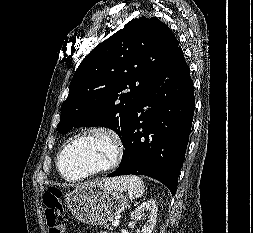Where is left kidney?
Instances as JSON below:
<instances>
[{
    "label": "left kidney",
    "mask_w": 253,
    "mask_h": 233,
    "mask_svg": "<svg viewBox=\"0 0 253 233\" xmlns=\"http://www.w3.org/2000/svg\"><path fill=\"white\" fill-rule=\"evenodd\" d=\"M157 206L154 200H148L139 205L132 213L131 220L140 219L145 212L149 213L148 219L145 225L141 228L139 233H152V230L156 224L157 218Z\"/></svg>",
    "instance_id": "1"
}]
</instances>
